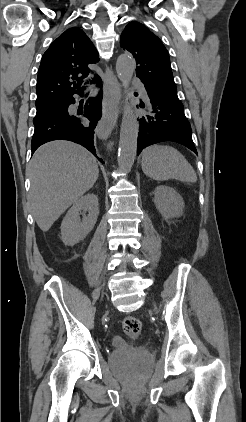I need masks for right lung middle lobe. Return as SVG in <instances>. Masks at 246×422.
<instances>
[{"label": "right lung middle lobe", "mask_w": 246, "mask_h": 422, "mask_svg": "<svg viewBox=\"0 0 246 422\" xmlns=\"http://www.w3.org/2000/svg\"><path fill=\"white\" fill-rule=\"evenodd\" d=\"M57 109H58V106L57 104H55L47 108L37 110L36 116L34 117L33 122L40 120L42 118L54 115Z\"/></svg>", "instance_id": "dd1d6c3e"}]
</instances>
